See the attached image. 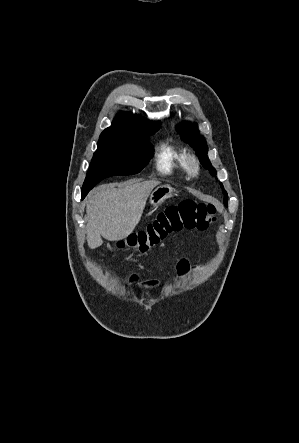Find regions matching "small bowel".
<instances>
[{
  "mask_svg": "<svg viewBox=\"0 0 299 443\" xmlns=\"http://www.w3.org/2000/svg\"><path fill=\"white\" fill-rule=\"evenodd\" d=\"M189 263L186 259H181L177 264V273L179 277H185L189 273ZM134 280H137V275H133ZM159 286L158 281L148 280L142 283V287L150 290H155Z\"/></svg>",
  "mask_w": 299,
  "mask_h": 443,
  "instance_id": "small-bowel-1",
  "label": "small bowel"
}]
</instances>
